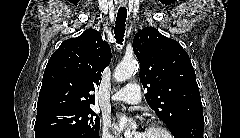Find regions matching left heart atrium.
<instances>
[{
  "mask_svg": "<svg viewBox=\"0 0 240 138\" xmlns=\"http://www.w3.org/2000/svg\"><path fill=\"white\" fill-rule=\"evenodd\" d=\"M115 130L117 131V132H119V133H122L123 131H124V126H123V124L122 123H116L115 124ZM143 130H141V129H139L136 133H135V135H136V137L137 138H140V136L143 134Z\"/></svg>",
  "mask_w": 240,
  "mask_h": 138,
  "instance_id": "1",
  "label": "left heart atrium"
}]
</instances>
